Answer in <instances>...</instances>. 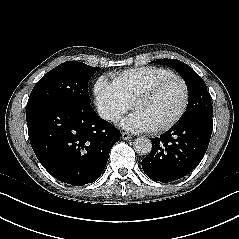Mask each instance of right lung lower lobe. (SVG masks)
Here are the masks:
<instances>
[{"mask_svg":"<svg viewBox=\"0 0 239 239\" xmlns=\"http://www.w3.org/2000/svg\"><path fill=\"white\" fill-rule=\"evenodd\" d=\"M31 146L56 179L85 185L102 174L120 131L101 119L91 105L47 104L27 109Z\"/></svg>","mask_w":239,"mask_h":239,"instance_id":"98d812e1","label":"right lung lower lobe"}]
</instances>
